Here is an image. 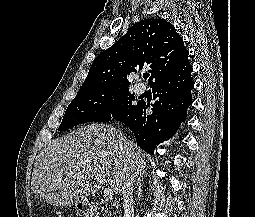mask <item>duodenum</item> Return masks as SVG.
I'll return each instance as SVG.
<instances>
[{
  "mask_svg": "<svg viewBox=\"0 0 255 217\" xmlns=\"http://www.w3.org/2000/svg\"><path fill=\"white\" fill-rule=\"evenodd\" d=\"M80 211L84 213L87 217H97L98 215V210L96 209V207L87 203H83L80 205ZM113 216L119 217V212L114 211Z\"/></svg>",
  "mask_w": 255,
  "mask_h": 217,
  "instance_id": "1",
  "label": "duodenum"
}]
</instances>
